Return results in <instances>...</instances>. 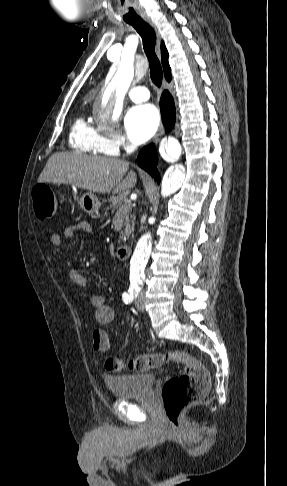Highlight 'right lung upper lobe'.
<instances>
[{"label": "right lung upper lobe", "instance_id": "right-lung-upper-lobe-1", "mask_svg": "<svg viewBox=\"0 0 287 486\" xmlns=\"http://www.w3.org/2000/svg\"><path fill=\"white\" fill-rule=\"evenodd\" d=\"M161 57H162L165 78L167 79V81L171 80V69L168 63V52L165 48L164 43L161 44Z\"/></svg>", "mask_w": 287, "mask_h": 486}]
</instances>
